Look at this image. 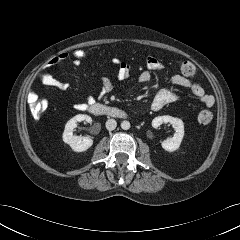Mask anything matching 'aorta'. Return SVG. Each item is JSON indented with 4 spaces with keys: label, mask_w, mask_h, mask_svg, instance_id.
<instances>
[{
    "label": "aorta",
    "mask_w": 240,
    "mask_h": 240,
    "mask_svg": "<svg viewBox=\"0 0 240 240\" xmlns=\"http://www.w3.org/2000/svg\"><path fill=\"white\" fill-rule=\"evenodd\" d=\"M121 128H122L123 130H128V129H130V122H129V121H126V120L122 121V122H121Z\"/></svg>",
    "instance_id": "obj_1"
}]
</instances>
